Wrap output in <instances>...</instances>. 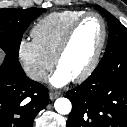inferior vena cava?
Wrapping results in <instances>:
<instances>
[{
  "label": "inferior vena cava",
  "instance_id": "obj_1",
  "mask_svg": "<svg viewBox=\"0 0 127 127\" xmlns=\"http://www.w3.org/2000/svg\"><path fill=\"white\" fill-rule=\"evenodd\" d=\"M27 76L34 81H42L47 79V72L42 69H30L27 71Z\"/></svg>",
  "mask_w": 127,
  "mask_h": 127
}]
</instances>
